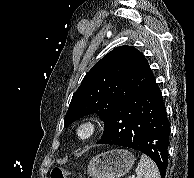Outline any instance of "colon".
<instances>
[{"label":"colon","instance_id":"5ec220e1","mask_svg":"<svg viewBox=\"0 0 194 178\" xmlns=\"http://www.w3.org/2000/svg\"><path fill=\"white\" fill-rule=\"evenodd\" d=\"M71 172L63 167L55 166L51 170V178H68Z\"/></svg>","mask_w":194,"mask_h":178}]
</instances>
